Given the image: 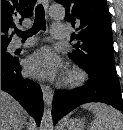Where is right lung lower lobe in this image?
<instances>
[{"instance_id": "obj_1", "label": "right lung lower lobe", "mask_w": 123, "mask_h": 130, "mask_svg": "<svg viewBox=\"0 0 123 130\" xmlns=\"http://www.w3.org/2000/svg\"><path fill=\"white\" fill-rule=\"evenodd\" d=\"M1 90L13 96L40 124L43 114V95L40 86L21 75L19 60L1 56Z\"/></svg>"}]
</instances>
